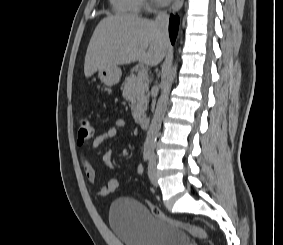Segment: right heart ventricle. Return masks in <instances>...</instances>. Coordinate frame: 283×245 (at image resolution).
<instances>
[{"label":"right heart ventricle","instance_id":"obj_1","mask_svg":"<svg viewBox=\"0 0 283 245\" xmlns=\"http://www.w3.org/2000/svg\"><path fill=\"white\" fill-rule=\"evenodd\" d=\"M114 10L120 14L137 15L143 6L142 0H110Z\"/></svg>","mask_w":283,"mask_h":245}]
</instances>
